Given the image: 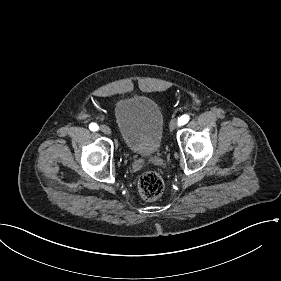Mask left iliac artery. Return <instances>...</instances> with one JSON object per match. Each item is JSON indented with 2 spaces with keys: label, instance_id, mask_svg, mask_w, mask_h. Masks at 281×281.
Returning <instances> with one entry per match:
<instances>
[{
  "label": "left iliac artery",
  "instance_id": "44dca946",
  "mask_svg": "<svg viewBox=\"0 0 281 281\" xmlns=\"http://www.w3.org/2000/svg\"><path fill=\"white\" fill-rule=\"evenodd\" d=\"M189 119H190L189 115H187V114L182 115L178 120V125L186 124L189 121Z\"/></svg>",
  "mask_w": 281,
  "mask_h": 281
}]
</instances>
